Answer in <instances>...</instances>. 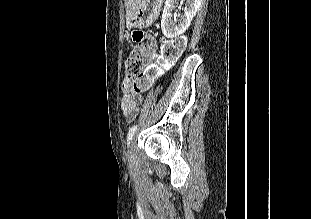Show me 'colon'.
Masks as SVG:
<instances>
[{
  "instance_id": "1",
  "label": "colon",
  "mask_w": 311,
  "mask_h": 219,
  "mask_svg": "<svg viewBox=\"0 0 311 219\" xmlns=\"http://www.w3.org/2000/svg\"><path fill=\"white\" fill-rule=\"evenodd\" d=\"M186 46L184 37H177L164 43L157 64L152 65L148 72L143 73L144 57L150 50V45H142L136 48L126 60L128 74L138 76L134 88L137 92L149 87L151 82L158 76L161 67L176 61L183 53Z\"/></svg>"
}]
</instances>
